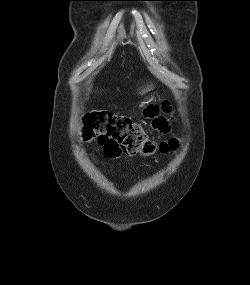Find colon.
Masks as SVG:
<instances>
[{
    "instance_id": "1",
    "label": "colon",
    "mask_w": 250,
    "mask_h": 285,
    "mask_svg": "<svg viewBox=\"0 0 250 285\" xmlns=\"http://www.w3.org/2000/svg\"><path fill=\"white\" fill-rule=\"evenodd\" d=\"M81 138L84 141L97 139L109 157L121 154L150 156L157 151H174L179 146V140L175 138L156 143L140 124L107 110H95L85 115Z\"/></svg>"
}]
</instances>
